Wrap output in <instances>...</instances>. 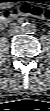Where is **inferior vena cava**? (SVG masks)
<instances>
[{
  "label": "inferior vena cava",
  "mask_w": 50,
  "mask_h": 111,
  "mask_svg": "<svg viewBox=\"0 0 50 111\" xmlns=\"http://www.w3.org/2000/svg\"><path fill=\"white\" fill-rule=\"evenodd\" d=\"M10 31L12 35H15L18 34L21 30L19 27H12Z\"/></svg>",
  "instance_id": "1"
}]
</instances>
